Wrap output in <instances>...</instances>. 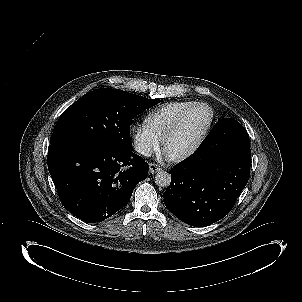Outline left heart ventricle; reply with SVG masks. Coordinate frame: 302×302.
<instances>
[{"label": "left heart ventricle", "instance_id": "left-heart-ventricle-1", "mask_svg": "<svg viewBox=\"0 0 302 302\" xmlns=\"http://www.w3.org/2000/svg\"><path fill=\"white\" fill-rule=\"evenodd\" d=\"M206 122L204 110L197 109L184 117L169 140V147L177 153L188 149L199 137Z\"/></svg>", "mask_w": 302, "mask_h": 302}]
</instances>
